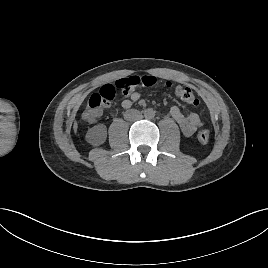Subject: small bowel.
I'll use <instances>...</instances> for the list:
<instances>
[{
	"instance_id": "small-bowel-1",
	"label": "small bowel",
	"mask_w": 268,
	"mask_h": 268,
	"mask_svg": "<svg viewBox=\"0 0 268 268\" xmlns=\"http://www.w3.org/2000/svg\"><path fill=\"white\" fill-rule=\"evenodd\" d=\"M142 97L141 93L138 91H133L122 101V107L127 109L130 108L132 103L138 101ZM170 114L172 118L177 122L180 127V130L184 136L193 135L197 129H199L202 125V119L200 115L197 113L183 114L180 107L174 105L170 109Z\"/></svg>"
}]
</instances>
